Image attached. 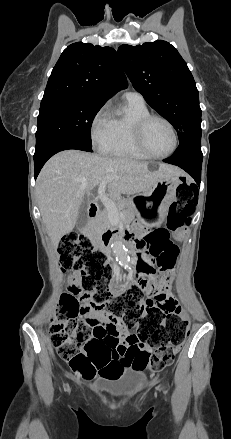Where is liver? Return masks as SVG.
Returning <instances> with one entry per match:
<instances>
[{
  "label": "liver",
  "instance_id": "obj_1",
  "mask_svg": "<svg viewBox=\"0 0 231 439\" xmlns=\"http://www.w3.org/2000/svg\"><path fill=\"white\" fill-rule=\"evenodd\" d=\"M182 175L172 165L160 163L151 171L148 163L128 158H108L78 150L53 156L42 168L36 184L42 221L54 247L76 224L84 192L100 186L107 177L109 195L136 194L150 190L159 180Z\"/></svg>",
  "mask_w": 231,
  "mask_h": 439
}]
</instances>
